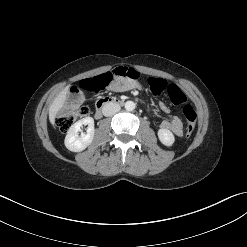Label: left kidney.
<instances>
[{
    "instance_id": "1",
    "label": "left kidney",
    "mask_w": 247,
    "mask_h": 247,
    "mask_svg": "<svg viewBox=\"0 0 247 247\" xmlns=\"http://www.w3.org/2000/svg\"><path fill=\"white\" fill-rule=\"evenodd\" d=\"M158 138L163 145L168 147L172 146L175 142V137L173 133L168 129H159Z\"/></svg>"
}]
</instances>
